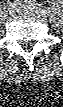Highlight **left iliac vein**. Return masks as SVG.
I'll list each match as a JSON object with an SVG mask.
<instances>
[{
	"label": "left iliac vein",
	"mask_w": 63,
	"mask_h": 107,
	"mask_svg": "<svg viewBox=\"0 0 63 107\" xmlns=\"http://www.w3.org/2000/svg\"><path fill=\"white\" fill-rule=\"evenodd\" d=\"M18 13H30L31 10L26 6H17Z\"/></svg>",
	"instance_id": "obj_1"
}]
</instances>
